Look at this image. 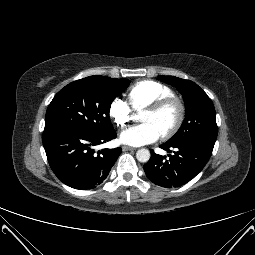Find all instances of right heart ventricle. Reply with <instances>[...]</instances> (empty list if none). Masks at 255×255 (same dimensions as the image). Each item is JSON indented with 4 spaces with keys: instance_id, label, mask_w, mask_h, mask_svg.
<instances>
[{
    "instance_id": "e07e8e85",
    "label": "right heart ventricle",
    "mask_w": 255,
    "mask_h": 255,
    "mask_svg": "<svg viewBox=\"0 0 255 255\" xmlns=\"http://www.w3.org/2000/svg\"><path fill=\"white\" fill-rule=\"evenodd\" d=\"M174 95L171 88L153 80H144L134 84L127 92L130 105L134 110H142L153 102Z\"/></svg>"
}]
</instances>
